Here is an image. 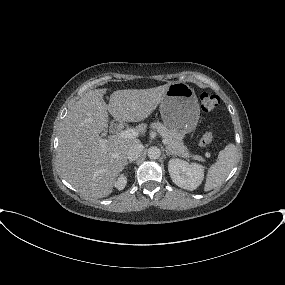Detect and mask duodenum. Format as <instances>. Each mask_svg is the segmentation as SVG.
<instances>
[{
  "label": "duodenum",
  "mask_w": 285,
  "mask_h": 285,
  "mask_svg": "<svg viewBox=\"0 0 285 285\" xmlns=\"http://www.w3.org/2000/svg\"><path fill=\"white\" fill-rule=\"evenodd\" d=\"M121 129H122V123H120L119 121H116L112 124V130L115 133H118L119 131H121Z\"/></svg>",
  "instance_id": "1"
}]
</instances>
